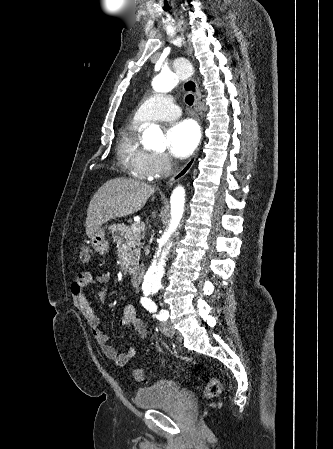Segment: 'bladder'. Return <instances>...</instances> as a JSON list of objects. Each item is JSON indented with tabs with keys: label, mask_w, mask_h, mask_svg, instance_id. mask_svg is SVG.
<instances>
[{
	"label": "bladder",
	"mask_w": 333,
	"mask_h": 449,
	"mask_svg": "<svg viewBox=\"0 0 333 449\" xmlns=\"http://www.w3.org/2000/svg\"><path fill=\"white\" fill-rule=\"evenodd\" d=\"M181 394V385L173 380H161L139 388L135 394V405L140 409H157L172 406Z\"/></svg>",
	"instance_id": "obj_1"
}]
</instances>
